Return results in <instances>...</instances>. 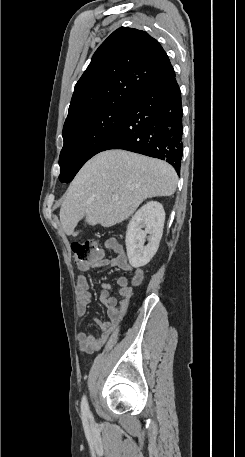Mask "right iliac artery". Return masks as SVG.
<instances>
[{
    "label": "right iliac artery",
    "instance_id": "1",
    "mask_svg": "<svg viewBox=\"0 0 245 457\" xmlns=\"http://www.w3.org/2000/svg\"><path fill=\"white\" fill-rule=\"evenodd\" d=\"M81 412L84 416H88L91 418V414H90V410H89V407H88V402H87V399L86 397L84 396L82 398V402H81Z\"/></svg>",
    "mask_w": 245,
    "mask_h": 457
}]
</instances>
